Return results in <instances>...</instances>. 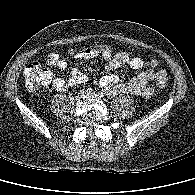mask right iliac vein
I'll list each match as a JSON object with an SVG mask.
<instances>
[{
  "label": "right iliac vein",
  "mask_w": 195,
  "mask_h": 195,
  "mask_svg": "<svg viewBox=\"0 0 195 195\" xmlns=\"http://www.w3.org/2000/svg\"><path fill=\"white\" fill-rule=\"evenodd\" d=\"M87 97V93L84 91H81L77 94L76 96V100L77 101H82L83 99H85Z\"/></svg>",
  "instance_id": "right-iliac-vein-1"
}]
</instances>
